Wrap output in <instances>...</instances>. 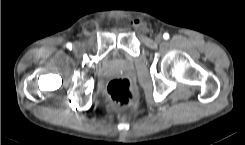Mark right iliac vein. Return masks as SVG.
Masks as SVG:
<instances>
[{
    "label": "right iliac vein",
    "mask_w": 245,
    "mask_h": 145,
    "mask_svg": "<svg viewBox=\"0 0 245 145\" xmlns=\"http://www.w3.org/2000/svg\"><path fill=\"white\" fill-rule=\"evenodd\" d=\"M74 46L77 47L78 46V43H75Z\"/></svg>",
    "instance_id": "right-iliac-vein-1"
}]
</instances>
